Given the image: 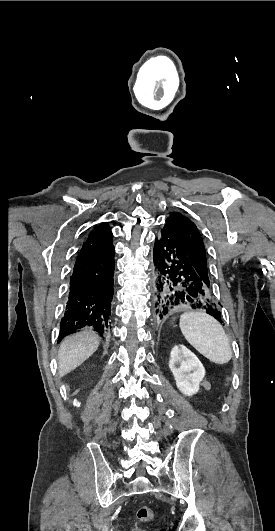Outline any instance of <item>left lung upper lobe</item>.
<instances>
[{"instance_id": "1", "label": "left lung upper lobe", "mask_w": 275, "mask_h": 531, "mask_svg": "<svg viewBox=\"0 0 275 531\" xmlns=\"http://www.w3.org/2000/svg\"><path fill=\"white\" fill-rule=\"evenodd\" d=\"M166 223H168L178 234L190 256L193 266L207 286L210 287L206 251L196 225L189 218L179 213L171 214L167 218Z\"/></svg>"}]
</instances>
